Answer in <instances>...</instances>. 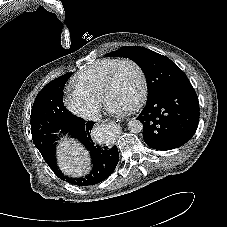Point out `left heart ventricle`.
<instances>
[{
    "instance_id": "obj_1",
    "label": "left heart ventricle",
    "mask_w": 227,
    "mask_h": 227,
    "mask_svg": "<svg viewBox=\"0 0 227 227\" xmlns=\"http://www.w3.org/2000/svg\"><path fill=\"white\" fill-rule=\"evenodd\" d=\"M140 90V76L130 64L121 67L115 82L108 92L107 102L132 105Z\"/></svg>"
}]
</instances>
